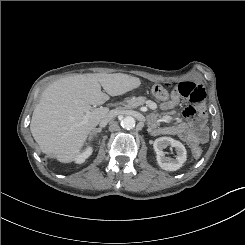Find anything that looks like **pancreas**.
I'll return each mask as SVG.
<instances>
[{"label":"pancreas","instance_id":"1","mask_svg":"<svg viewBox=\"0 0 245 245\" xmlns=\"http://www.w3.org/2000/svg\"><path fill=\"white\" fill-rule=\"evenodd\" d=\"M146 102L144 97H133L131 99L124 100L121 105L124 108H136L137 106L143 105Z\"/></svg>","mask_w":245,"mask_h":245}]
</instances>
